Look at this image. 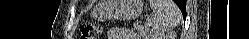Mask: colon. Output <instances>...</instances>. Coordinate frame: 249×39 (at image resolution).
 Returning <instances> with one entry per match:
<instances>
[{
    "mask_svg": "<svg viewBox=\"0 0 249 39\" xmlns=\"http://www.w3.org/2000/svg\"><path fill=\"white\" fill-rule=\"evenodd\" d=\"M80 39H98L102 35L101 27L93 22H85L79 25Z\"/></svg>",
    "mask_w": 249,
    "mask_h": 39,
    "instance_id": "1",
    "label": "colon"
}]
</instances>
